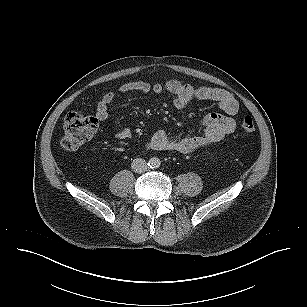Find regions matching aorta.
<instances>
[{
    "label": "aorta",
    "mask_w": 307,
    "mask_h": 307,
    "mask_svg": "<svg viewBox=\"0 0 307 307\" xmlns=\"http://www.w3.org/2000/svg\"><path fill=\"white\" fill-rule=\"evenodd\" d=\"M161 164V161L159 158L157 157H152L150 160H149V166L151 168H158Z\"/></svg>",
    "instance_id": "1"
}]
</instances>
